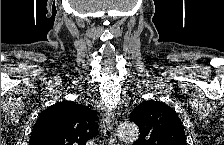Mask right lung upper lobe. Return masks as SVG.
<instances>
[{"label": "right lung upper lobe", "instance_id": "cb5924a9", "mask_svg": "<svg viewBox=\"0 0 224 145\" xmlns=\"http://www.w3.org/2000/svg\"><path fill=\"white\" fill-rule=\"evenodd\" d=\"M97 112L72 101L58 102L38 117L29 145H85L98 131Z\"/></svg>", "mask_w": 224, "mask_h": 145}]
</instances>
